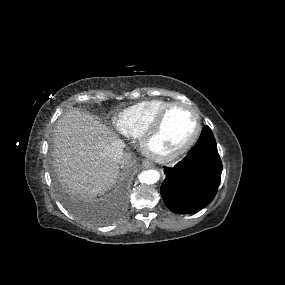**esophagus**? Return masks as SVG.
<instances>
[{
  "mask_svg": "<svg viewBox=\"0 0 285 285\" xmlns=\"http://www.w3.org/2000/svg\"><path fill=\"white\" fill-rule=\"evenodd\" d=\"M142 166H143L144 168H152V167H153V163H152L151 161H149V160H144V161L142 162Z\"/></svg>",
  "mask_w": 285,
  "mask_h": 285,
  "instance_id": "obj_1",
  "label": "esophagus"
}]
</instances>
